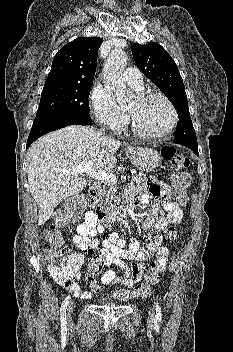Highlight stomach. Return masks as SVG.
Here are the masks:
<instances>
[{
    "label": "stomach",
    "mask_w": 233,
    "mask_h": 352,
    "mask_svg": "<svg viewBox=\"0 0 233 352\" xmlns=\"http://www.w3.org/2000/svg\"><path fill=\"white\" fill-rule=\"evenodd\" d=\"M126 153L134 166L143 172L153 171L161 162L159 153L149 147L130 148Z\"/></svg>",
    "instance_id": "0dacf381"
}]
</instances>
